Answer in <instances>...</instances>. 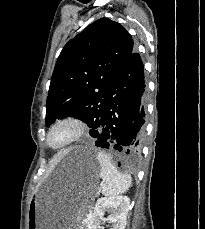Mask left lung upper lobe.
I'll list each match as a JSON object with an SVG mask.
<instances>
[{
  "instance_id": "5c2ea615",
  "label": "left lung upper lobe",
  "mask_w": 205,
  "mask_h": 229,
  "mask_svg": "<svg viewBox=\"0 0 205 229\" xmlns=\"http://www.w3.org/2000/svg\"><path fill=\"white\" fill-rule=\"evenodd\" d=\"M133 52L125 28L108 18L87 26L62 49L51 78L46 103L47 125L75 117L98 131L108 91Z\"/></svg>"
}]
</instances>
